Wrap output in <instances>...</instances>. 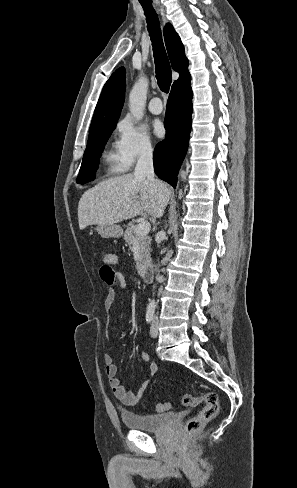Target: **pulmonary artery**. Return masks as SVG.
Masks as SVG:
<instances>
[{"label":"pulmonary artery","instance_id":"e3ab8cb5","mask_svg":"<svg viewBox=\"0 0 297 488\" xmlns=\"http://www.w3.org/2000/svg\"><path fill=\"white\" fill-rule=\"evenodd\" d=\"M148 110L155 115L160 114L163 111L161 100L158 97H154L148 104Z\"/></svg>","mask_w":297,"mask_h":488}]
</instances>
